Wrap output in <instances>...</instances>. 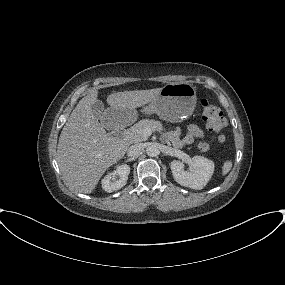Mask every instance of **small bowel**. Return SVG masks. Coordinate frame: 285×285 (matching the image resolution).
Returning a JSON list of instances; mask_svg holds the SVG:
<instances>
[{"instance_id":"c3829d8e","label":"small bowel","mask_w":285,"mask_h":285,"mask_svg":"<svg viewBox=\"0 0 285 285\" xmlns=\"http://www.w3.org/2000/svg\"><path fill=\"white\" fill-rule=\"evenodd\" d=\"M203 135V130L199 126L191 124L188 128L187 134L184 137H181L178 128H170L166 133V138L173 144V146L182 148L193 143L194 140L202 138Z\"/></svg>"}]
</instances>
